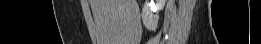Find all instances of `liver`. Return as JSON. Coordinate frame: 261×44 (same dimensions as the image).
I'll return each mask as SVG.
<instances>
[{"instance_id": "obj_1", "label": "liver", "mask_w": 261, "mask_h": 44, "mask_svg": "<svg viewBox=\"0 0 261 44\" xmlns=\"http://www.w3.org/2000/svg\"><path fill=\"white\" fill-rule=\"evenodd\" d=\"M96 22L98 44H134V24L139 8L136 0H90Z\"/></svg>"}]
</instances>
